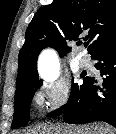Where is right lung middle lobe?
<instances>
[{
    "mask_svg": "<svg viewBox=\"0 0 116 134\" xmlns=\"http://www.w3.org/2000/svg\"><path fill=\"white\" fill-rule=\"evenodd\" d=\"M87 80H88V78H84V80H83L84 82L81 85L78 83H72L71 93H70V97H69V100L67 103L74 101L79 96V94L82 92ZM41 85H42V81L31 83V84L27 85L23 89L22 92H20L18 95H15V97H14L15 110H14V115H13L14 118H13L12 125H11L12 129L25 125L29 121V107H30V104H31L35 91ZM64 107H65V105L51 113H55V112L63 109Z\"/></svg>",
    "mask_w": 116,
    "mask_h": 134,
    "instance_id": "right-lung-middle-lobe-1",
    "label": "right lung middle lobe"
}]
</instances>
